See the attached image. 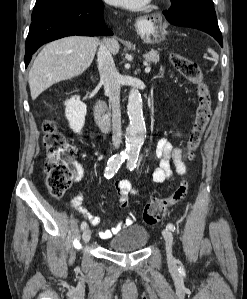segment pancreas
<instances>
[{
  "mask_svg": "<svg viewBox=\"0 0 247 299\" xmlns=\"http://www.w3.org/2000/svg\"><path fill=\"white\" fill-rule=\"evenodd\" d=\"M144 59L147 62L157 63L159 61V54L157 51H150L144 55Z\"/></svg>",
  "mask_w": 247,
  "mask_h": 299,
  "instance_id": "1",
  "label": "pancreas"
}]
</instances>
